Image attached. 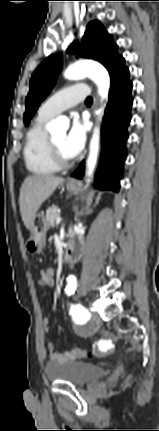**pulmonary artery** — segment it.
<instances>
[{"mask_svg": "<svg viewBox=\"0 0 159 431\" xmlns=\"http://www.w3.org/2000/svg\"><path fill=\"white\" fill-rule=\"evenodd\" d=\"M89 93L90 89L86 84L69 85L49 97L41 105L39 113L47 117H54L85 100Z\"/></svg>", "mask_w": 159, "mask_h": 431, "instance_id": "1", "label": "pulmonary artery"}]
</instances>
